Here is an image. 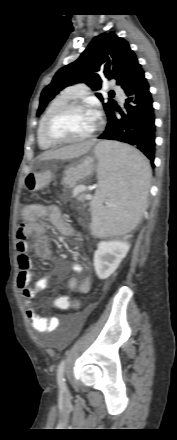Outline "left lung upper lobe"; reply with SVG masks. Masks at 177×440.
I'll return each instance as SVG.
<instances>
[{
  "label": "left lung upper lobe",
  "instance_id": "1",
  "mask_svg": "<svg viewBox=\"0 0 177 440\" xmlns=\"http://www.w3.org/2000/svg\"><path fill=\"white\" fill-rule=\"evenodd\" d=\"M141 69L128 42L113 31L104 32L90 42L76 61L64 66L55 74L52 82L41 93L37 116L42 113L47 103L67 86L85 82L93 90H98L104 78H114L117 85L125 89ZM96 95L103 101L99 93ZM103 106L108 117L116 108V102L109 99Z\"/></svg>",
  "mask_w": 177,
  "mask_h": 440
}]
</instances>
